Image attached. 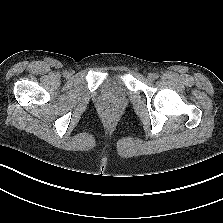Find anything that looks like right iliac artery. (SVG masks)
Wrapping results in <instances>:
<instances>
[{
	"mask_svg": "<svg viewBox=\"0 0 223 223\" xmlns=\"http://www.w3.org/2000/svg\"><path fill=\"white\" fill-rule=\"evenodd\" d=\"M64 75H67V72H64Z\"/></svg>",
	"mask_w": 223,
	"mask_h": 223,
	"instance_id": "1",
	"label": "right iliac artery"
}]
</instances>
